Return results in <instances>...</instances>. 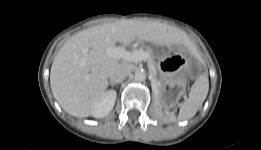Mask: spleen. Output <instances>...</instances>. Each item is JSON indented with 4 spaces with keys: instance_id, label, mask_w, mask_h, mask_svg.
<instances>
[{
    "instance_id": "obj_1",
    "label": "spleen",
    "mask_w": 261,
    "mask_h": 150,
    "mask_svg": "<svg viewBox=\"0 0 261 150\" xmlns=\"http://www.w3.org/2000/svg\"><path fill=\"white\" fill-rule=\"evenodd\" d=\"M209 91V81L207 75H201L193 83L190 94L179 110L178 119L187 120L195 116L198 109L202 106Z\"/></svg>"
}]
</instances>
